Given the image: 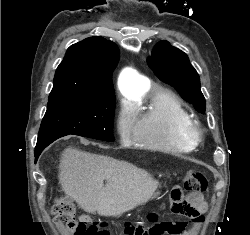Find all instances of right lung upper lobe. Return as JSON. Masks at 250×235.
<instances>
[{
  "label": "right lung upper lobe",
  "mask_w": 250,
  "mask_h": 235,
  "mask_svg": "<svg viewBox=\"0 0 250 235\" xmlns=\"http://www.w3.org/2000/svg\"><path fill=\"white\" fill-rule=\"evenodd\" d=\"M118 59L117 45L100 36L71 45L56 70L49 98L114 92L111 77Z\"/></svg>",
  "instance_id": "right-lung-upper-lobe-1"
}]
</instances>
